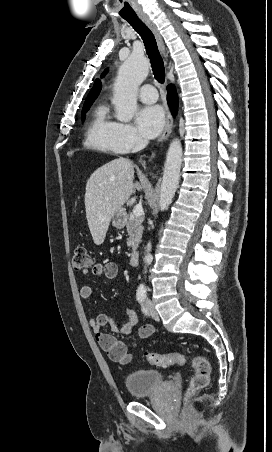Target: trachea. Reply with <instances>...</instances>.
Listing matches in <instances>:
<instances>
[{
    "label": "trachea",
    "mask_w": 272,
    "mask_h": 452,
    "mask_svg": "<svg viewBox=\"0 0 272 452\" xmlns=\"http://www.w3.org/2000/svg\"><path fill=\"white\" fill-rule=\"evenodd\" d=\"M124 19L139 33L143 39L147 55L150 59L155 79L163 84L165 81V68L159 53L155 37L151 30L138 18V16L124 17Z\"/></svg>",
    "instance_id": "3493384b"
}]
</instances>
